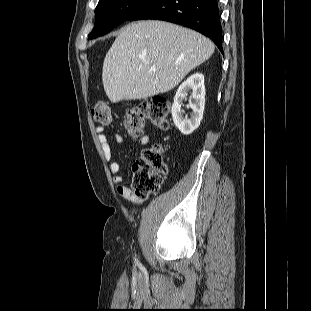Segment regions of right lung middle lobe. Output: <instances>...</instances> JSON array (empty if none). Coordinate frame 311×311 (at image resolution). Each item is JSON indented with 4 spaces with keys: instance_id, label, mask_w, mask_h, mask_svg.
<instances>
[{
    "instance_id": "dd1d6c3e",
    "label": "right lung middle lobe",
    "mask_w": 311,
    "mask_h": 311,
    "mask_svg": "<svg viewBox=\"0 0 311 311\" xmlns=\"http://www.w3.org/2000/svg\"><path fill=\"white\" fill-rule=\"evenodd\" d=\"M154 0H99L95 9V26L88 39L97 38L128 20L134 13Z\"/></svg>"
}]
</instances>
